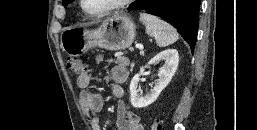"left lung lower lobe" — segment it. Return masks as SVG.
Instances as JSON below:
<instances>
[{"label":"left lung lower lobe","mask_w":257,"mask_h":130,"mask_svg":"<svg viewBox=\"0 0 257 130\" xmlns=\"http://www.w3.org/2000/svg\"><path fill=\"white\" fill-rule=\"evenodd\" d=\"M199 8L200 0H141L129 7L132 10L147 11L169 22L192 50L197 39Z\"/></svg>","instance_id":"obj_1"}]
</instances>
